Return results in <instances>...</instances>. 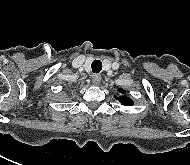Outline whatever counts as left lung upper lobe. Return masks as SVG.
Returning a JSON list of instances; mask_svg holds the SVG:
<instances>
[{"label": "left lung upper lobe", "mask_w": 190, "mask_h": 165, "mask_svg": "<svg viewBox=\"0 0 190 165\" xmlns=\"http://www.w3.org/2000/svg\"><path fill=\"white\" fill-rule=\"evenodd\" d=\"M118 92L123 94L125 93V90L123 89H118ZM118 100L121 102L122 105H127V106H130L133 104V101L131 99H129L127 96H120L118 98Z\"/></svg>", "instance_id": "1"}]
</instances>
